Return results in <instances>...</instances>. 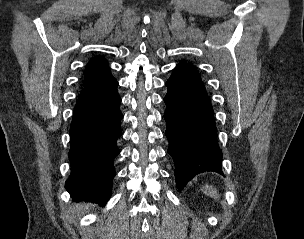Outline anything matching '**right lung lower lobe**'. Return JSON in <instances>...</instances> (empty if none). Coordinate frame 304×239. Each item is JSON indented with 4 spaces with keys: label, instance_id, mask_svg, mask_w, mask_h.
Masks as SVG:
<instances>
[{
    "label": "right lung lower lobe",
    "instance_id": "right-lung-lower-lobe-1",
    "mask_svg": "<svg viewBox=\"0 0 304 239\" xmlns=\"http://www.w3.org/2000/svg\"><path fill=\"white\" fill-rule=\"evenodd\" d=\"M117 86L109 71L85 85L75 105L70 127L71 175L65 185L75 200L105 205L111 196L122 119Z\"/></svg>",
    "mask_w": 304,
    "mask_h": 239
}]
</instances>
